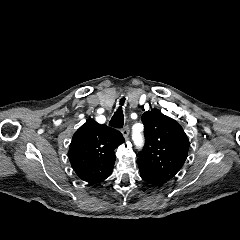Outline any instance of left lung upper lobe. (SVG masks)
Masks as SVG:
<instances>
[{
  "label": "left lung upper lobe",
  "instance_id": "1",
  "mask_svg": "<svg viewBox=\"0 0 240 240\" xmlns=\"http://www.w3.org/2000/svg\"><path fill=\"white\" fill-rule=\"evenodd\" d=\"M142 122L145 145L139 152L138 165L171 180L187 158L189 140L182 127L159 110L145 112Z\"/></svg>",
  "mask_w": 240,
  "mask_h": 240
}]
</instances>
